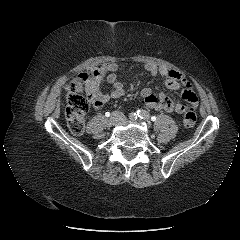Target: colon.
<instances>
[{
	"label": "colon",
	"instance_id": "1",
	"mask_svg": "<svg viewBox=\"0 0 240 240\" xmlns=\"http://www.w3.org/2000/svg\"><path fill=\"white\" fill-rule=\"evenodd\" d=\"M99 69H93L88 73L78 74L70 83L67 93L66 121L69 130L80 135L84 132L85 117L89 110V102L84 96V92L90 81L101 76ZM184 124L192 127L196 122V110L193 104H188L184 111Z\"/></svg>",
	"mask_w": 240,
	"mask_h": 240
}]
</instances>
